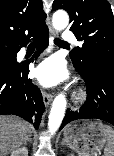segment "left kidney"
Returning <instances> with one entry per match:
<instances>
[{"instance_id": "obj_1", "label": "left kidney", "mask_w": 114, "mask_h": 156, "mask_svg": "<svg viewBox=\"0 0 114 156\" xmlns=\"http://www.w3.org/2000/svg\"><path fill=\"white\" fill-rule=\"evenodd\" d=\"M69 156H74L73 154H70Z\"/></svg>"}]
</instances>
